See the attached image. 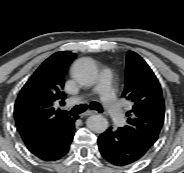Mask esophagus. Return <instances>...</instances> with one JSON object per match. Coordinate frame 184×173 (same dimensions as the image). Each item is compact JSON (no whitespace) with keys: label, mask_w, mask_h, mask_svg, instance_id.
Returning <instances> with one entry per match:
<instances>
[{"label":"esophagus","mask_w":184,"mask_h":173,"mask_svg":"<svg viewBox=\"0 0 184 173\" xmlns=\"http://www.w3.org/2000/svg\"><path fill=\"white\" fill-rule=\"evenodd\" d=\"M95 113H96V112L93 111V110H88V111H85V112L81 113V114H80V117H81V118H84V117L93 115V114H95Z\"/></svg>","instance_id":"1"}]
</instances>
